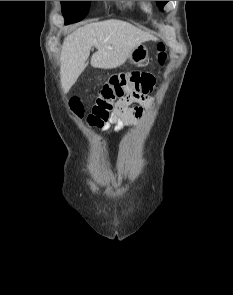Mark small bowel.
I'll return each mask as SVG.
<instances>
[{"instance_id": "c3829d8e", "label": "small bowel", "mask_w": 233, "mask_h": 295, "mask_svg": "<svg viewBox=\"0 0 233 295\" xmlns=\"http://www.w3.org/2000/svg\"><path fill=\"white\" fill-rule=\"evenodd\" d=\"M153 98L148 95L139 98H124L116 102L113 113L107 122L102 125V130H108L112 125L116 130L120 129L124 122L132 118H141L145 114L142 106L132 107L133 103L150 104Z\"/></svg>"}]
</instances>
